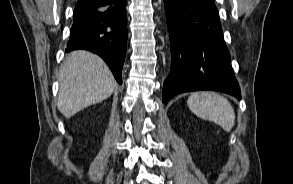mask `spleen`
<instances>
[{
    "label": "spleen",
    "instance_id": "spleen-1",
    "mask_svg": "<svg viewBox=\"0 0 293 184\" xmlns=\"http://www.w3.org/2000/svg\"><path fill=\"white\" fill-rule=\"evenodd\" d=\"M189 109L198 117L213 121L225 131L235 125V112L225 97L211 91L192 93L187 100Z\"/></svg>",
    "mask_w": 293,
    "mask_h": 184
}]
</instances>
